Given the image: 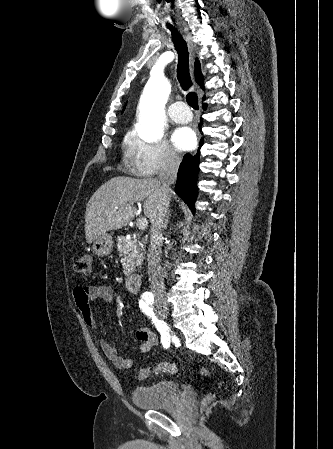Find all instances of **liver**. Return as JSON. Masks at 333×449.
Returning a JSON list of instances; mask_svg holds the SVG:
<instances>
[{
  "label": "liver",
  "mask_w": 333,
  "mask_h": 449,
  "mask_svg": "<svg viewBox=\"0 0 333 449\" xmlns=\"http://www.w3.org/2000/svg\"><path fill=\"white\" fill-rule=\"evenodd\" d=\"M157 179L114 177L90 198L85 213V235L92 243L110 230L126 226L137 214L133 202L144 201V215L153 223L161 195Z\"/></svg>",
  "instance_id": "6515ba94"
}]
</instances>
